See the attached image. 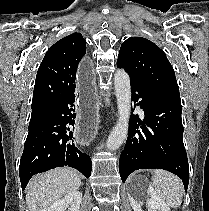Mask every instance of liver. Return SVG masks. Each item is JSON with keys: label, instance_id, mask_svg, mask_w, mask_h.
I'll return each mask as SVG.
<instances>
[{"label": "liver", "instance_id": "liver-1", "mask_svg": "<svg viewBox=\"0 0 209 211\" xmlns=\"http://www.w3.org/2000/svg\"><path fill=\"white\" fill-rule=\"evenodd\" d=\"M81 185L79 174L71 168H55L34 176L26 194L29 211H46L62 196L76 191Z\"/></svg>", "mask_w": 209, "mask_h": 211}]
</instances>
